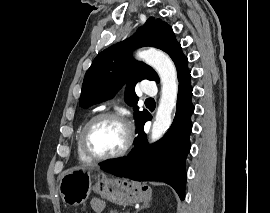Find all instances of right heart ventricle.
<instances>
[{
    "mask_svg": "<svg viewBox=\"0 0 270 213\" xmlns=\"http://www.w3.org/2000/svg\"><path fill=\"white\" fill-rule=\"evenodd\" d=\"M85 124H83L80 129L78 130V133L76 135V152L78 155V158L81 162L83 163H89L91 162V160H89L86 155L83 153L82 148H81V133H82V129L84 127Z\"/></svg>",
    "mask_w": 270,
    "mask_h": 213,
    "instance_id": "obj_1",
    "label": "right heart ventricle"
}]
</instances>
